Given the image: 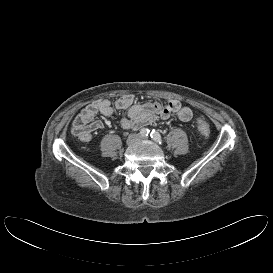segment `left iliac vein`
<instances>
[{
    "label": "left iliac vein",
    "instance_id": "obj_1",
    "mask_svg": "<svg viewBox=\"0 0 273 273\" xmlns=\"http://www.w3.org/2000/svg\"><path fill=\"white\" fill-rule=\"evenodd\" d=\"M140 140H147V138L146 137H141Z\"/></svg>",
    "mask_w": 273,
    "mask_h": 273
}]
</instances>
